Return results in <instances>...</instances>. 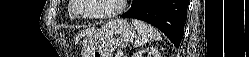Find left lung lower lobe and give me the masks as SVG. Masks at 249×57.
I'll use <instances>...</instances> for the list:
<instances>
[{"label": "left lung lower lobe", "instance_id": "1", "mask_svg": "<svg viewBox=\"0 0 249 57\" xmlns=\"http://www.w3.org/2000/svg\"><path fill=\"white\" fill-rule=\"evenodd\" d=\"M188 0H133L121 17L136 18L161 30L178 47L184 34Z\"/></svg>", "mask_w": 249, "mask_h": 57}]
</instances>
